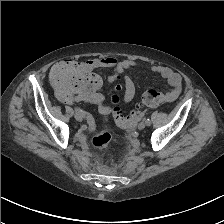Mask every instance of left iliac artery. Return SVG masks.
I'll return each mask as SVG.
<instances>
[{"instance_id":"44dca946","label":"left iliac artery","mask_w":224,"mask_h":224,"mask_svg":"<svg viewBox=\"0 0 224 224\" xmlns=\"http://www.w3.org/2000/svg\"><path fill=\"white\" fill-rule=\"evenodd\" d=\"M145 123L147 126H150L151 125V120L148 118V119H145Z\"/></svg>"}]
</instances>
